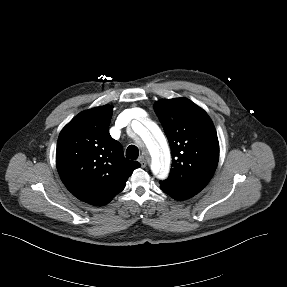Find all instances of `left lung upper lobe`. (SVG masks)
<instances>
[{
	"instance_id": "5c2ea615",
	"label": "left lung upper lobe",
	"mask_w": 287,
	"mask_h": 287,
	"mask_svg": "<svg viewBox=\"0 0 287 287\" xmlns=\"http://www.w3.org/2000/svg\"><path fill=\"white\" fill-rule=\"evenodd\" d=\"M172 151V168L161 188L183 200L198 194L210 181L219 160V143L207 113L186 98L155 104Z\"/></svg>"
}]
</instances>
